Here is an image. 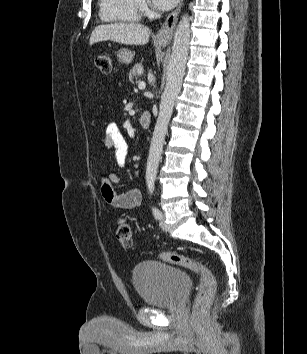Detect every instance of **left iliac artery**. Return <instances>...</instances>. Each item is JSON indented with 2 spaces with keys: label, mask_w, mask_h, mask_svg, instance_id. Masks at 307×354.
<instances>
[{
  "label": "left iliac artery",
  "mask_w": 307,
  "mask_h": 354,
  "mask_svg": "<svg viewBox=\"0 0 307 354\" xmlns=\"http://www.w3.org/2000/svg\"><path fill=\"white\" fill-rule=\"evenodd\" d=\"M148 189H149V193L152 195L153 194V191H154V185L153 184H149L148 185ZM152 212H153V215L156 219H160L161 217V212L160 210L157 208V207H153L152 208Z\"/></svg>",
  "instance_id": "left-iliac-artery-1"
}]
</instances>
